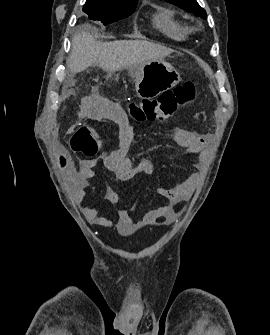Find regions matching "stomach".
Wrapping results in <instances>:
<instances>
[{
	"mask_svg": "<svg viewBox=\"0 0 270 335\" xmlns=\"http://www.w3.org/2000/svg\"><path fill=\"white\" fill-rule=\"evenodd\" d=\"M180 74L164 62V60H154L139 68L135 74V92L142 100H153L164 90L174 88L179 84Z\"/></svg>",
	"mask_w": 270,
	"mask_h": 335,
	"instance_id": "1",
	"label": "stomach"
}]
</instances>
